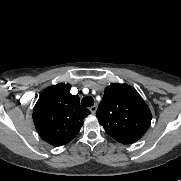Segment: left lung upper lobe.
I'll use <instances>...</instances> for the list:
<instances>
[{"label": "left lung upper lobe", "mask_w": 181, "mask_h": 181, "mask_svg": "<svg viewBox=\"0 0 181 181\" xmlns=\"http://www.w3.org/2000/svg\"><path fill=\"white\" fill-rule=\"evenodd\" d=\"M105 131L122 144H133L148 130L152 115L149 107L128 84L114 83L105 88L96 112Z\"/></svg>", "instance_id": "5c2ea615"}]
</instances>
